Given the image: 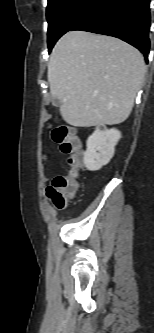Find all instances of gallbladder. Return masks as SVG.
<instances>
[{"label": "gallbladder", "mask_w": 154, "mask_h": 333, "mask_svg": "<svg viewBox=\"0 0 154 333\" xmlns=\"http://www.w3.org/2000/svg\"><path fill=\"white\" fill-rule=\"evenodd\" d=\"M53 103H54L55 105H57V106H60V105H61V102H60V100H58V99H54V100H53Z\"/></svg>", "instance_id": "obj_1"}]
</instances>
